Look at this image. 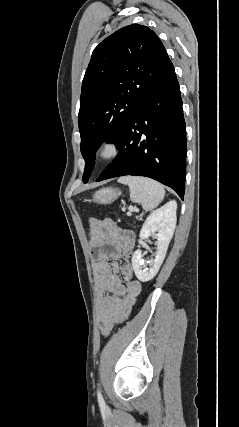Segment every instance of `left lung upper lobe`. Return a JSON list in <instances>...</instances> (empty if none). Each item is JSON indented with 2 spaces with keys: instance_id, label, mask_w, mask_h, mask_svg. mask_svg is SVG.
<instances>
[{
  "instance_id": "5c2ea615",
  "label": "left lung upper lobe",
  "mask_w": 239,
  "mask_h": 427,
  "mask_svg": "<svg viewBox=\"0 0 239 427\" xmlns=\"http://www.w3.org/2000/svg\"><path fill=\"white\" fill-rule=\"evenodd\" d=\"M172 68L158 36L139 24L119 29L94 49L78 115L84 183L93 171L98 147L104 141L119 144L139 102Z\"/></svg>"
}]
</instances>
